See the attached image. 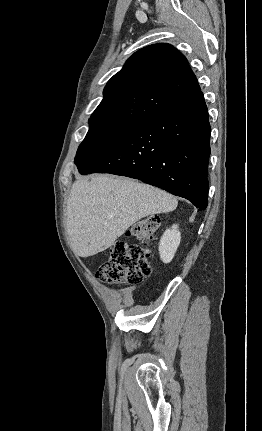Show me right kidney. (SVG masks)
Returning a JSON list of instances; mask_svg holds the SVG:
<instances>
[{
  "label": "right kidney",
  "mask_w": 262,
  "mask_h": 431,
  "mask_svg": "<svg viewBox=\"0 0 262 431\" xmlns=\"http://www.w3.org/2000/svg\"><path fill=\"white\" fill-rule=\"evenodd\" d=\"M181 234L178 225H173L167 229L161 237L159 244L160 258L164 263H169L173 259L175 252L180 244Z\"/></svg>",
  "instance_id": "right-kidney-1"
}]
</instances>
